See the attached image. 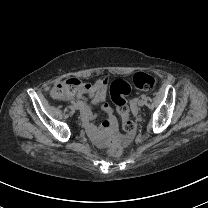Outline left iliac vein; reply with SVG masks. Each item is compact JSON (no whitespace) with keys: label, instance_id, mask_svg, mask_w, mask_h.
I'll use <instances>...</instances> for the list:
<instances>
[{"label":"left iliac vein","instance_id":"left-iliac-vein-1","mask_svg":"<svg viewBox=\"0 0 208 208\" xmlns=\"http://www.w3.org/2000/svg\"><path fill=\"white\" fill-rule=\"evenodd\" d=\"M145 104V100L144 99H140L138 101V106L142 107Z\"/></svg>","mask_w":208,"mask_h":208}]
</instances>
